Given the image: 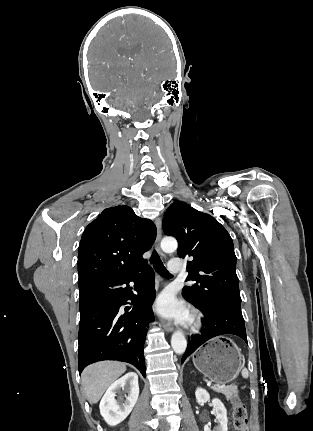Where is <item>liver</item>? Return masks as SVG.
<instances>
[{
	"instance_id": "1",
	"label": "liver",
	"mask_w": 313,
	"mask_h": 431,
	"mask_svg": "<svg viewBox=\"0 0 313 431\" xmlns=\"http://www.w3.org/2000/svg\"><path fill=\"white\" fill-rule=\"evenodd\" d=\"M125 371V364L114 361L98 362L86 367L81 379L88 401L97 403L106 389Z\"/></svg>"
}]
</instances>
